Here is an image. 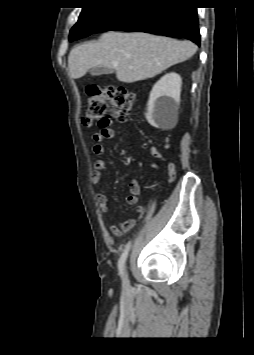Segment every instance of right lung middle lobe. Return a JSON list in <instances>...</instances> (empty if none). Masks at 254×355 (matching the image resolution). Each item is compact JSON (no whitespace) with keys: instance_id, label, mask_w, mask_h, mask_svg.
I'll list each match as a JSON object with an SVG mask.
<instances>
[{"instance_id":"dd1d6c3e","label":"right lung middle lobe","mask_w":254,"mask_h":355,"mask_svg":"<svg viewBox=\"0 0 254 355\" xmlns=\"http://www.w3.org/2000/svg\"><path fill=\"white\" fill-rule=\"evenodd\" d=\"M123 3L115 0H98L82 7L77 23L70 31L69 40L80 39L94 33Z\"/></svg>"}]
</instances>
